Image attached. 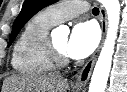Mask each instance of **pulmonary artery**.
Listing matches in <instances>:
<instances>
[{"label": "pulmonary artery", "mask_w": 127, "mask_h": 92, "mask_svg": "<svg viewBox=\"0 0 127 92\" xmlns=\"http://www.w3.org/2000/svg\"><path fill=\"white\" fill-rule=\"evenodd\" d=\"M88 10V4L84 1H64L52 5L46 9L48 15L57 23L77 17Z\"/></svg>", "instance_id": "obj_1"}]
</instances>
